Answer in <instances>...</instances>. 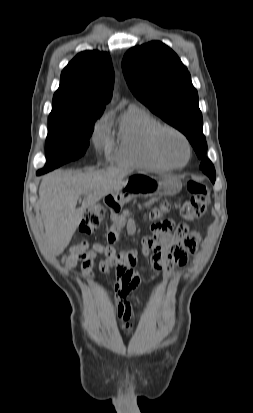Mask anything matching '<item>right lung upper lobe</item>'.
Masks as SVG:
<instances>
[{
    "mask_svg": "<svg viewBox=\"0 0 253 413\" xmlns=\"http://www.w3.org/2000/svg\"><path fill=\"white\" fill-rule=\"evenodd\" d=\"M114 70L108 53H79L61 73L49 117L98 116L109 102Z\"/></svg>",
    "mask_w": 253,
    "mask_h": 413,
    "instance_id": "cb5924a9",
    "label": "right lung upper lobe"
}]
</instances>
